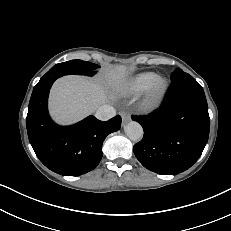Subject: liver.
<instances>
[{"label": "liver", "instance_id": "liver-1", "mask_svg": "<svg viewBox=\"0 0 231 231\" xmlns=\"http://www.w3.org/2000/svg\"><path fill=\"white\" fill-rule=\"evenodd\" d=\"M127 67L116 66L106 74V80L69 75L58 79L50 92L49 109L59 124L75 123L95 112L108 100V86L119 89L125 85Z\"/></svg>", "mask_w": 231, "mask_h": 231}]
</instances>
